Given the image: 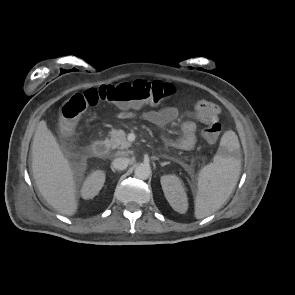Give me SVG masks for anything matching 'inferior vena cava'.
Wrapping results in <instances>:
<instances>
[{
  "mask_svg": "<svg viewBox=\"0 0 295 295\" xmlns=\"http://www.w3.org/2000/svg\"><path fill=\"white\" fill-rule=\"evenodd\" d=\"M129 163H130L129 158L119 157L113 160L112 165L116 170H125L128 167Z\"/></svg>",
  "mask_w": 295,
  "mask_h": 295,
  "instance_id": "602c4592",
  "label": "inferior vena cava"
}]
</instances>
